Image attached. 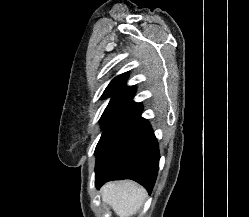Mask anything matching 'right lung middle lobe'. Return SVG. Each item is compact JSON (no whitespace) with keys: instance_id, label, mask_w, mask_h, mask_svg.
<instances>
[{"instance_id":"obj_1","label":"right lung middle lobe","mask_w":249,"mask_h":217,"mask_svg":"<svg viewBox=\"0 0 249 217\" xmlns=\"http://www.w3.org/2000/svg\"><path fill=\"white\" fill-rule=\"evenodd\" d=\"M109 96H110V95H109ZM106 97H108V96H103V98H106ZM119 98H120V95H112V99H111L109 105L107 106V108L105 109L103 115H104L105 112L109 109V107L112 106ZM103 115H102V117H103ZM102 117H101V118H102Z\"/></svg>"}]
</instances>
